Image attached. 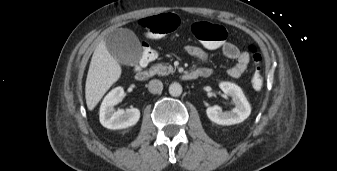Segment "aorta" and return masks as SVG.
<instances>
[{
	"mask_svg": "<svg viewBox=\"0 0 337 171\" xmlns=\"http://www.w3.org/2000/svg\"><path fill=\"white\" fill-rule=\"evenodd\" d=\"M182 91V86L177 82L171 83L169 86V93L173 97L180 96L182 94Z\"/></svg>",
	"mask_w": 337,
	"mask_h": 171,
	"instance_id": "obj_1",
	"label": "aorta"
}]
</instances>
